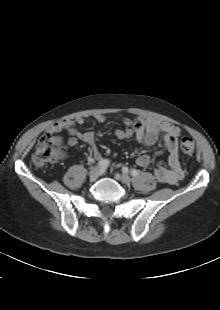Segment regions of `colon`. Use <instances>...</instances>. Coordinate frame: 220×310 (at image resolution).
I'll list each match as a JSON object with an SVG mask.
<instances>
[{
    "instance_id": "colon-1",
    "label": "colon",
    "mask_w": 220,
    "mask_h": 310,
    "mask_svg": "<svg viewBox=\"0 0 220 310\" xmlns=\"http://www.w3.org/2000/svg\"><path fill=\"white\" fill-rule=\"evenodd\" d=\"M62 138L57 132H47L39 139L32 160L38 166H45L57 161L62 153ZM181 151L184 154L192 155L195 152L194 141L184 136L180 142Z\"/></svg>"
}]
</instances>
